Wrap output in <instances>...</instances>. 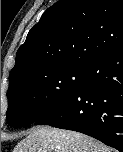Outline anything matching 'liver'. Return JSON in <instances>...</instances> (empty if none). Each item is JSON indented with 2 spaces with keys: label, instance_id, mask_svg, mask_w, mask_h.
<instances>
[{
  "label": "liver",
  "instance_id": "liver-1",
  "mask_svg": "<svg viewBox=\"0 0 123 152\" xmlns=\"http://www.w3.org/2000/svg\"><path fill=\"white\" fill-rule=\"evenodd\" d=\"M13 152H111V149L79 132L40 126L32 128Z\"/></svg>",
  "mask_w": 123,
  "mask_h": 152
}]
</instances>
